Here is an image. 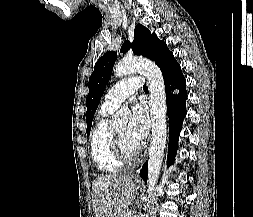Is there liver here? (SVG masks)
Masks as SVG:
<instances>
[{
	"label": "liver",
	"instance_id": "1",
	"mask_svg": "<svg viewBox=\"0 0 253 217\" xmlns=\"http://www.w3.org/2000/svg\"><path fill=\"white\" fill-rule=\"evenodd\" d=\"M132 176L110 174L93 182L92 208L95 217H124L134 197Z\"/></svg>",
	"mask_w": 253,
	"mask_h": 217
}]
</instances>
